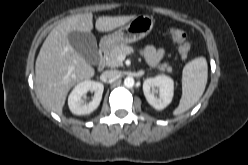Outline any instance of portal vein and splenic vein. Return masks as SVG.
<instances>
[{
    "label": "portal vein and splenic vein",
    "instance_id": "portal-vein-and-splenic-vein-1",
    "mask_svg": "<svg viewBox=\"0 0 248 165\" xmlns=\"http://www.w3.org/2000/svg\"><path fill=\"white\" fill-rule=\"evenodd\" d=\"M119 59L123 60L124 59V56H120Z\"/></svg>",
    "mask_w": 248,
    "mask_h": 165
}]
</instances>
